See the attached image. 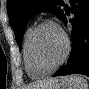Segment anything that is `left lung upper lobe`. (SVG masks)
I'll return each mask as SVG.
<instances>
[{
    "label": "left lung upper lobe",
    "mask_w": 89,
    "mask_h": 89,
    "mask_svg": "<svg viewBox=\"0 0 89 89\" xmlns=\"http://www.w3.org/2000/svg\"><path fill=\"white\" fill-rule=\"evenodd\" d=\"M59 0H8L7 10L16 41L21 48L24 31L28 21L37 13L48 11L60 19L63 10Z\"/></svg>",
    "instance_id": "5c2ea615"
}]
</instances>
